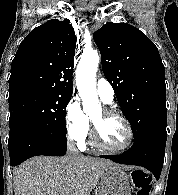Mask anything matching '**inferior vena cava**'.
I'll list each match as a JSON object with an SVG mask.
<instances>
[{
	"label": "inferior vena cava",
	"instance_id": "602c4592",
	"mask_svg": "<svg viewBox=\"0 0 178 195\" xmlns=\"http://www.w3.org/2000/svg\"><path fill=\"white\" fill-rule=\"evenodd\" d=\"M68 155L72 159H75V158H78L81 156L80 152L77 150V148L75 147V145L71 139L68 142Z\"/></svg>",
	"mask_w": 178,
	"mask_h": 195
}]
</instances>
